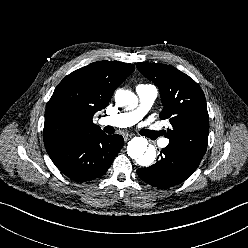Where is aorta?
<instances>
[{"label":"aorta","instance_id":"obj_1","mask_svg":"<svg viewBox=\"0 0 248 248\" xmlns=\"http://www.w3.org/2000/svg\"><path fill=\"white\" fill-rule=\"evenodd\" d=\"M115 102L117 106L124 107L126 110H132L138 105L137 96L131 91L118 90L115 94ZM127 153L129 157L135 159L140 166H150L156 157L154 147H148L147 139L143 137H135L128 142Z\"/></svg>","mask_w":248,"mask_h":248}]
</instances>
